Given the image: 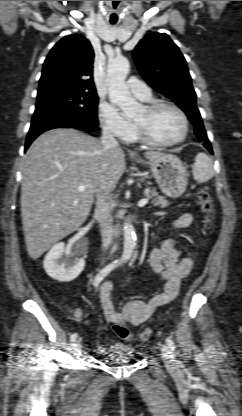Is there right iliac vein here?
I'll list each match as a JSON object with an SVG mask.
<instances>
[{
    "instance_id": "obj_1",
    "label": "right iliac vein",
    "mask_w": 242,
    "mask_h": 416,
    "mask_svg": "<svg viewBox=\"0 0 242 416\" xmlns=\"http://www.w3.org/2000/svg\"><path fill=\"white\" fill-rule=\"evenodd\" d=\"M72 348H73L74 353H78L80 351V343H79V341H75L72 344Z\"/></svg>"
}]
</instances>
